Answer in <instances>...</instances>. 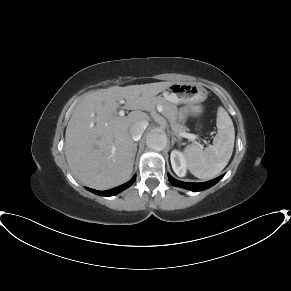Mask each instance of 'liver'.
<instances>
[{
	"instance_id": "obj_1",
	"label": "liver",
	"mask_w": 291,
	"mask_h": 291,
	"mask_svg": "<svg viewBox=\"0 0 291 291\" xmlns=\"http://www.w3.org/2000/svg\"><path fill=\"white\" fill-rule=\"evenodd\" d=\"M172 82H156L100 89L76 106L66 128L65 156L72 173L85 185L103 190L128 180L133 171L135 143L130 127L149 121L153 98ZM125 100L119 116L118 101Z\"/></svg>"
}]
</instances>
